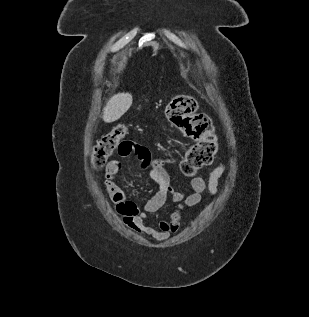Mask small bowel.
<instances>
[{
	"mask_svg": "<svg viewBox=\"0 0 309 317\" xmlns=\"http://www.w3.org/2000/svg\"><path fill=\"white\" fill-rule=\"evenodd\" d=\"M132 143L127 141V144ZM132 149L126 153L120 152L121 156H128L135 153ZM136 152L138 165L141 169H147L150 178L157 183L158 190L147 201L143 209H140L134 202L127 199L124 190L115 182V178L122 168L119 160L110 161L105 168L104 188L110 200L115 206L116 212L121 216L123 223L133 232L151 237L156 242L167 240L171 234L178 231L181 224L182 210L186 207L198 205L204 194L214 196L218 192L219 180L226 171L224 163L215 167L207 178L203 175H196L191 181L188 192L175 190L170 183V177L165 165L177 161L175 156L152 157L149 149L139 146ZM167 200L178 205L168 220L161 221L158 226L149 224L148 213L159 210Z\"/></svg>",
	"mask_w": 309,
	"mask_h": 317,
	"instance_id": "small-bowel-1",
	"label": "small bowel"
}]
</instances>
